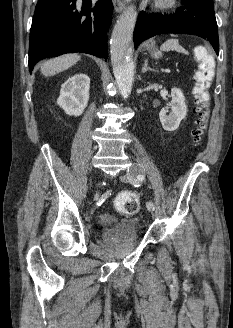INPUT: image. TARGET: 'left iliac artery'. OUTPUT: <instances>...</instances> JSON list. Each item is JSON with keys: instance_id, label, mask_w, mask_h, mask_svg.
<instances>
[{"instance_id": "1", "label": "left iliac artery", "mask_w": 233, "mask_h": 328, "mask_svg": "<svg viewBox=\"0 0 233 328\" xmlns=\"http://www.w3.org/2000/svg\"><path fill=\"white\" fill-rule=\"evenodd\" d=\"M143 180H144V176L140 174V175H138L137 178L134 180L133 185H134L135 187H138V186H140V183H141ZM147 208H148V209H152V210H154V209H155V205H154L151 201H149V202H147Z\"/></svg>"}]
</instances>
